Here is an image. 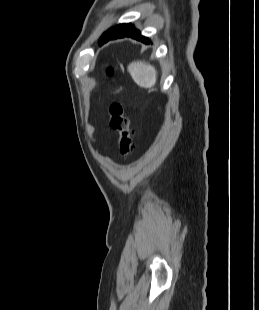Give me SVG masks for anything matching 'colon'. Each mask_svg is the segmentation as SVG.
Instances as JSON below:
<instances>
[{
	"label": "colon",
	"mask_w": 259,
	"mask_h": 310,
	"mask_svg": "<svg viewBox=\"0 0 259 310\" xmlns=\"http://www.w3.org/2000/svg\"><path fill=\"white\" fill-rule=\"evenodd\" d=\"M108 74H112L108 70ZM109 126L118 133L117 147L121 156L127 159L133 151V131L130 126V121L124 113L121 104L114 102L108 108Z\"/></svg>",
	"instance_id": "5ec220e1"
}]
</instances>
